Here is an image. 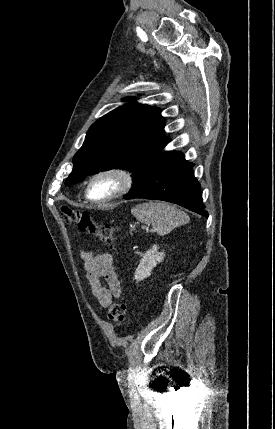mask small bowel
<instances>
[{
    "instance_id": "c3829d8e",
    "label": "small bowel",
    "mask_w": 275,
    "mask_h": 429,
    "mask_svg": "<svg viewBox=\"0 0 275 429\" xmlns=\"http://www.w3.org/2000/svg\"><path fill=\"white\" fill-rule=\"evenodd\" d=\"M82 257L92 295L102 307H108L113 299L121 294L120 282L112 266V257L109 254L93 252H85Z\"/></svg>"
}]
</instances>
